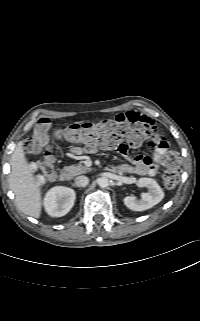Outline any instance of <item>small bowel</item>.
Returning a JSON list of instances; mask_svg holds the SVG:
<instances>
[{
	"instance_id": "c3829d8e",
	"label": "small bowel",
	"mask_w": 200,
	"mask_h": 321,
	"mask_svg": "<svg viewBox=\"0 0 200 321\" xmlns=\"http://www.w3.org/2000/svg\"><path fill=\"white\" fill-rule=\"evenodd\" d=\"M121 116L129 119H143L153 126V122L151 120L134 111H128L125 114H121ZM149 145L153 149L152 157L137 155L131 159L132 164H120L117 166H111L110 169L114 172L137 174L141 176H155L158 173L160 167L164 165L167 141L164 138H161L160 143L149 142ZM75 152L79 153V149H75Z\"/></svg>"
}]
</instances>
